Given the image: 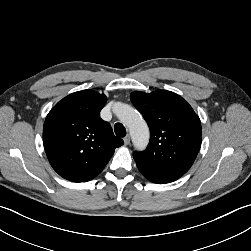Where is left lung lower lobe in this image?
<instances>
[{"label": "left lung lower lobe", "instance_id": "obj_1", "mask_svg": "<svg viewBox=\"0 0 251 251\" xmlns=\"http://www.w3.org/2000/svg\"><path fill=\"white\" fill-rule=\"evenodd\" d=\"M139 171L151 182L153 183H169L179 179L182 174L173 173V172H165V171H157L148 169L145 167L137 166Z\"/></svg>", "mask_w": 251, "mask_h": 251}]
</instances>
